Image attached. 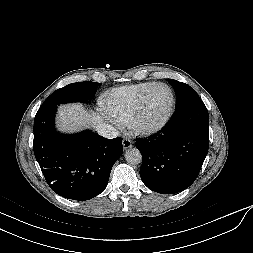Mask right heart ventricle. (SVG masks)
Listing matches in <instances>:
<instances>
[{
  "label": "right heart ventricle",
  "mask_w": 253,
  "mask_h": 253,
  "mask_svg": "<svg viewBox=\"0 0 253 253\" xmlns=\"http://www.w3.org/2000/svg\"><path fill=\"white\" fill-rule=\"evenodd\" d=\"M153 82L125 85L111 90L105 104L108 113L120 124H128L143 93Z\"/></svg>",
  "instance_id": "obj_1"
}]
</instances>
